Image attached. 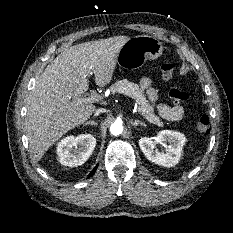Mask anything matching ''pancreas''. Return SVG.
<instances>
[{
    "label": "pancreas",
    "instance_id": "cf45deb5",
    "mask_svg": "<svg viewBox=\"0 0 233 233\" xmlns=\"http://www.w3.org/2000/svg\"><path fill=\"white\" fill-rule=\"evenodd\" d=\"M113 93H120L133 98L139 105L141 115L150 123L155 124L159 127H163V122L160 118L154 114V103L150 102L144 91L139 88L137 84H134L127 79L116 81L111 86Z\"/></svg>",
    "mask_w": 233,
    "mask_h": 233
}]
</instances>
